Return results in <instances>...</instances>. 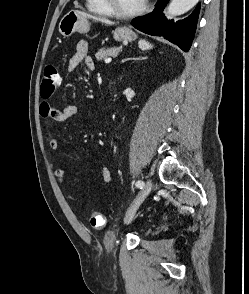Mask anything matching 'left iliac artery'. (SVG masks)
<instances>
[{
  "label": "left iliac artery",
  "mask_w": 249,
  "mask_h": 294,
  "mask_svg": "<svg viewBox=\"0 0 249 294\" xmlns=\"http://www.w3.org/2000/svg\"><path fill=\"white\" fill-rule=\"evenodd\" d=\"M136 187H138V188H140V189H143V187H144V182L141 181V180H138V181L136 182Z\"/></svg>",
  "instance_id": "left-iliac-artery-1"
}]
</instances>
